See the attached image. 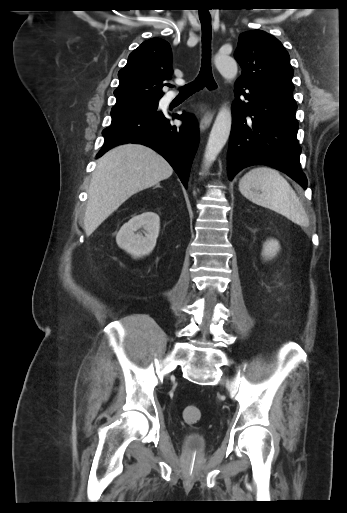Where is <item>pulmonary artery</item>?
<instances>
[{
  "label": "pulmonary artery",
  "mask_w": 347,
  "mask_h": 513,
  "mask_svg": "<svg viewBox=\"0 0 347 513\" xmlns=\"http://www.w3.org/2000/svg\"><path fill=\"white\" fill-rule=\"evenodd\" d=\"M178 83H179V84H182V83H183V81H182V80H179V81H178ZM175 97H176V95H175V93H174V92H169V93L166 95L165 100H166V101H171V100H173Z\"/></svg>",
  "instance_id": "1"
}]
</instances>
